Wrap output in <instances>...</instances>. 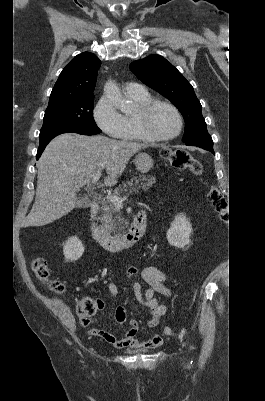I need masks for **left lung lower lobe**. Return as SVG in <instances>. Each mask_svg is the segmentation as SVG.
<instances>
[{
    "instance_id": "1",
    "label": "left lung lower lobe",
    "mask_w": 265,
    "mask_h": 401,
    "mask_svg": "<svg viewBox=\"0 0 265 401\" xmlns=\"http://www.w3.org/2000/svg\"><path fill=\"white\" fill-rule=\"evenodd\" d=\"M185 143L186 145L197 146L215 154L213 151V141L209 134L188 140Z\"/></svg>"
}]
</instances>
